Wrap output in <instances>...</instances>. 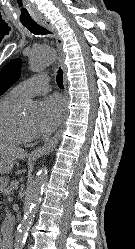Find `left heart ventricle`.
I'll return each mask as SVG.
<instances>
[{
  "label": "left heart ventricle",
  "instance_id": "obj_1",
  "mask_svg": "<svg viewBox=\"0 0 135 249\" xmlns=\"http://www.w3.org/2000/svg\"><path fill=\"white\" fill-rule=\"evenodd\" d=\"M20 120L22 122V124L31 129L34 130V126H35V116L34 115H20Z\"/></svg>",
  "mask_w": 135,
  "mask_h": 249
}]
</instances>
